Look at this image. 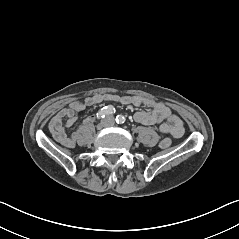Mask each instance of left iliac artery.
I'll use <instances>...</instances> for the list:
<instances>
[{
  "label": "left iliac artery",
  "instance_id": "obj_1",
  "mask_svg": "<svg viewBox=\"0 0 239 239\" xmlns=\"http://www.w3.org/2000/svg\"><path fill=\"white\" fill-rule=\"evenodd\" d=\"M116 122H117L118 124H123V123L125 122V117H124L123 115H118V116L116 117Z\"/></svg>",
  "mask_w": 239,
  "mask_h": 239
}]
</instances>
